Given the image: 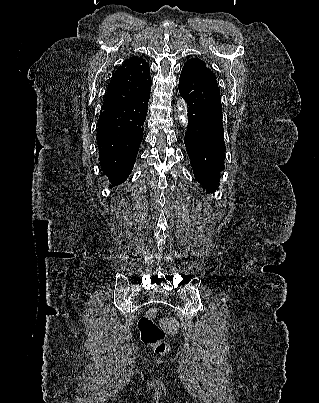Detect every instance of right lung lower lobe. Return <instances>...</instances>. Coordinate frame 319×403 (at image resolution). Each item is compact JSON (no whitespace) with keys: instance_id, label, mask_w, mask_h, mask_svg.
<instances>
[{"instance_id":"obj_1","label":"right lung lower lobe","mask_w":319,"mask_h":403,"mask_svg":"<svg viewBox=\"0 0 319 403\" xmlns=\"http://www.w3.org/2000/svg\"><path fill=\"white\" fill-rule=\"evenodd\" d=\"M150 93L132 102L103 110L97 123L100 167L111 187L127 179L143 139Z\"/></svg>"}]
</instances>
